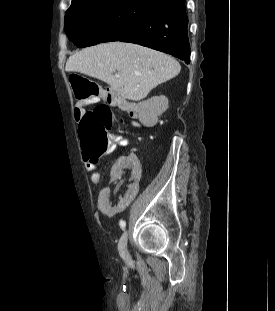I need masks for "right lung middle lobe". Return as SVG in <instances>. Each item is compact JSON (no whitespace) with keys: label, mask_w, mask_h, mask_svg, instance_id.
Here are the masks:
<instances>
[{"label":"right lung middle lobe","mask_w":275,"mask_h":311,"mask_svg":"<svg viewBox=\"0 0 275 311\" xmlns=\"http://www.w3.org/2000/svg\"><path fill=\"white\" fill-rule=\"evenodd\" d=\"M160 0H83L72 2L65 15V30L77 47L115 41Z\"/></svg>","instance_id":"obj_1"}]
</instances>
